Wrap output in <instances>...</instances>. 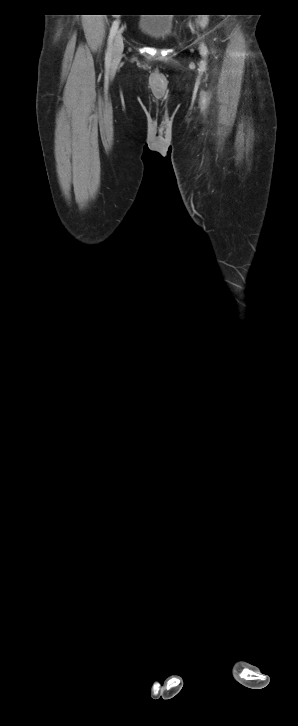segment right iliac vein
I'll use <instances>...</instances> for the list:
<instances>
[{
	"instance_id": "right-iliac-vein-1",
	"label": "right iliac vein",
	"mask_w": 298,
	"mask_h": 726,
	"mask_svg": "<svg viewBox=\"0 0 298 726\" xmlns=\"http://www.w3.org/2000/svg\"><path fill=\"white\" fill-rule=\"evenodd\" d=\"M124 44H123V37L121 32H118L114 44H113V50H112V59L113 61H119L123 52Z\"/></svg>"
}]
</instances>
